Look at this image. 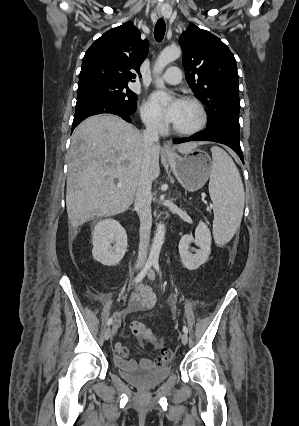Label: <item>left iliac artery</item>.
Instances as JSON below:
<instances>
[{"mask_svg": "<svg viewBox=\"0 0 299 426\" xmlns=\"http://www.w3.org/2000/svg\"><path fill=\"white\" fill-rule=\"evenodd\" d=\"M153 266H154L155 270L159 273L160 269H159L158 261H154ZM183 332L186 333V334L188 333V328L186 326H183Z\"/></svg>", "mask_w": 299, "mask_h": 426, "instance_id": "44dca946", "label": "left iliac artery"}]
</instances>
